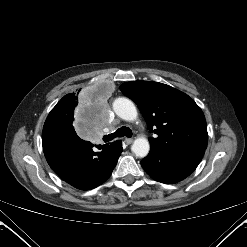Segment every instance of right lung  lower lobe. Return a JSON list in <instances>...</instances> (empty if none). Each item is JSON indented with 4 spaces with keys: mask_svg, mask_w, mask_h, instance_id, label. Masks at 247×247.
<instances>
[{
    "mask_svg": "<svg viewBox=\"0 0 247 247\" xmlns=\"http://www.w3.org/2000/svg\"><path fill=\"white\" fill-rule=\"evenodd\" d=\"M42 145L46 160L55 173L81 190H90L105 182L123 150L122 142L117 140L94 152L93 144L79 138L73 126L52 120L45 121Z\"/></svg>",
    "mask_w": 247,
    "mask_h": 247,
    "instance_id": "98d812e1",
    "label": "right lung lower lobe"
}]
</instances>
